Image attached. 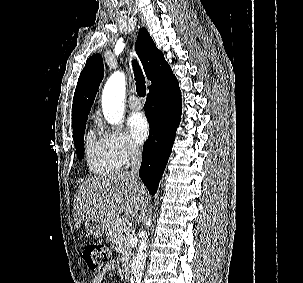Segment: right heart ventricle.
<instances>
[{
    "mask_svg": "<svg viewBox=\"0 0 303 283\" xmlns=\"http://www.w3.org/2000/svg\"><path fill=\"white\" fill-rule=\"evenodd\" d=\"M86 158L89 169L97 175H111L121 167L106 150L102 140H98L92 131L86 138Z\"/></svg>",
    "mask_w": 303,
    "mask_h": 283,
    "instance_id": "obj_1",
    "label": "right heart ventricle"
}]
</instances>
